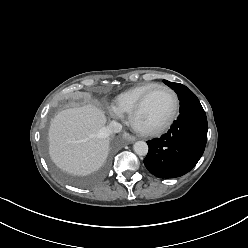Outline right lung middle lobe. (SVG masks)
I'll use <instances>...</instances> for the list:
<instances>
[{
	"label": "right lung middle lobe",
	"instance_id": "right-lung-middle-lobe-1",
	"mask_svg": "<svg viewBox=\"0 0 248 248\" xmlns=\"http://www.w3.org/2000/svg\"><path fill=\"white\" fill-rule=\"evenodd\" d=\"M111 156L112 155L110 154L109 157L107 158V160L105 161L104 165L96 173H94L90 176H87V177H78V176L71 175V174L63 171L62 169H60L57 165H55L52 162H51V168H52L53 172L60 179H62L63 181H65L67 183H70V184L76 185V186H89V185H92V184L98 182L99 180H101L104 177V175L106 174V172L110 166Z\"/></svg>",
	"mask_w": 248,
	"mask_h": 248
}]
</instances>
